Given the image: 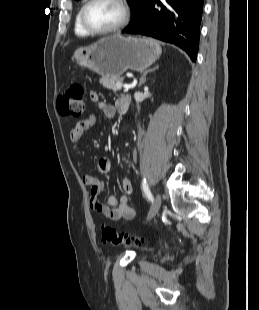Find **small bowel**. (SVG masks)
Listing matches in <instances>:
<instances>
[{
    "mask_svg": "<svg viewBox=\"0 0 259 310\" xmlns=\"http://www.w3.org/2000/svg\"><path fill=\"white\" fill-rule=\"evenodd\" d=\"M90 98L92 102L97 103L103 114L113 119L116 114L117 105L108 104L100 101L97 92H91ZM96 118L94 115H90L87 118L79 121L74 128L70 131V141L73 143V149L71 156L74 160H77V144L83 137L84 133L95 124ZM112 164L108 158H100L98 160V170L102 174L110 173ZM83 183L90 187V208L92 211L102 214L112 221H119L122 219L132 220L135 217V210L129 202L128 196L133 191L132 182L129 179H123L121 187L123 195L118 199L115 195H109L105 202L102 203L100 196L103 192V183L92 174H85L83 176Z\"/></svg>",
    "mask_w": 259,
    "mask_h": 310,
    "instance_id": "c3829d8e",
    "label": "small bowel"
}]
</instances>
